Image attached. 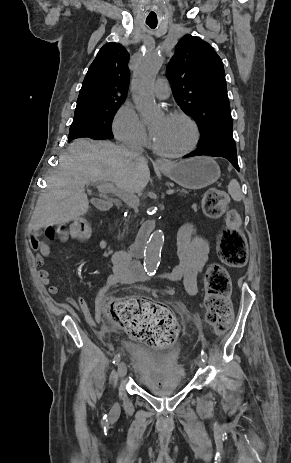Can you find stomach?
I'll return each instance as SVG.
<instances>
[{
	"mask_svg": "<svg viewBox=\"0 0 291 463\" xmlns=\"http://www.w3.org/2000/svg\"><path fill=\"white\" fill-rule=\"evenodd\" d=\"M164 175L180 186L197 190L215 183L220 177V167L207 156L194 157L178 163H166L161 167Z\"/></svg>",
	"mask_w": 291,
	"mask_h": 463,
	"instance_id": "stomach-1",
	"label": "stomach"
}]
</instances>
